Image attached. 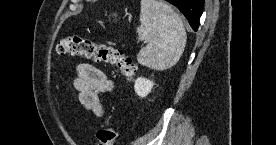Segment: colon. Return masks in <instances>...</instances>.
<instances>
[{
    "instance_id": "5ec220e1",
    "label": "colon",
    "mask_w": 276,
    "mask_h": 145,
    "mask_svg": "<svg viewBox=\"0 0 276 145\" xmlns=\"http://www.w3.org/2000/svg\"><path fill=\"white\" fill-rule=\"evenodd\" d=\"M56 52L61 56H85L97 63L113 65L126 79H132L137 71L135 63L121 49L97 43L80 35H71L61 39L57 44ZM117 139L118 131L114 127H100L97 131V145H115Z\"/></svg>"
}]
</instances>
